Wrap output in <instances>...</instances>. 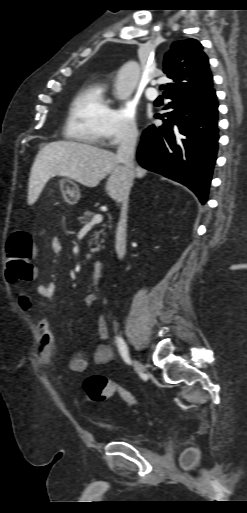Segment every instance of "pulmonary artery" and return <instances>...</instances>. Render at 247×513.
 Instances as JSON below:
<instances>
[{
    "mask_svg": "<svg viewBox=\"0 0 247 513\" xmlns=\"http://www.w3.org/2000/svg\"><path fill=\"white\" fill-rule=\"evenodd\" d=\"M153 83L155 84V82H153ZM145 95L149 100H152V101L158 97V93H157L156 89L153 87L148 88L145 92Z\"/></svg>",
    "mask_w": 247,
    "mask_h": 513,
    "instance_id": "pulmonary-artery-1",
    "label": "pulmonary artery"
}]
</instances>
